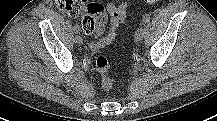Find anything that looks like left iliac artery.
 I'll return each mask as SVG.
<instances>
[{"mask_svg":"<svg viewBox=\"0 0 217 121\" xmlns=\"http://www.w3.org/2000/svg\"><path fill=\"white\" fill-rule=\"evenodd\" d=\"M149 21H150V16L148 14H145L142 18V23L146 24Z\"/></svg>","mask_w":217,"mask_h":121,"instance_id":"1","label":"left iliac artery"}]
</instances>
